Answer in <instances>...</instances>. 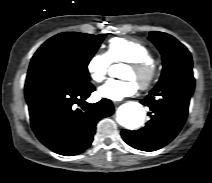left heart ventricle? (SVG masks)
<instances>
[{
    "instance_id": "1",
    "label": "left heart ventricle",
    "mask_w": 212,
    "mask_h": 183,
    "mask_svg": "<svg viewBox=\"0 0 212 183\" xmlns=\"http://www.w3.org/2000/svg\"><path fill=\"white\" fill-rule=\"evenodd\" d=\"M122 78L125 80L134 81L138 84L141 81V76L135 73L130 67H126L123 71Z\"/></svg>"
}]
</instances>
